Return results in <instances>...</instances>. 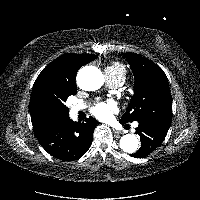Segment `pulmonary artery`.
I'll return each instance as SVG.
<instances>
[{
  "instance_id": "pulmonary-artery-1",
  "label": "pulmonary artery",
  "mask_w": 200,
  "mask_h": 200,
  "mask_svg": "<svg viewBox=\"0 0 200 200\" xmlns=\"http://www.w3.org/2000/svg\"><path fill=\"white\" fill-rule=\"evenodd\" d=\"M105 75H106L107 84L110 87L118 88V87L122 86L124 81L121 78L114 77V76H112V75H110L109 73H106V72H105ZM84 108H85V105H82V104L74 105L72 107V112L77 113V112L83 110Z\"/></svg>"
}]
</instances>
